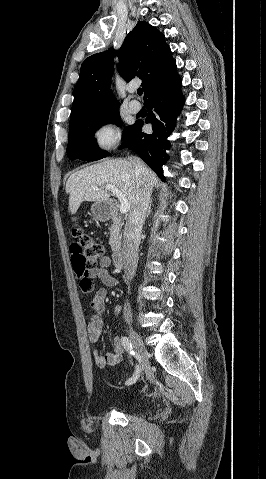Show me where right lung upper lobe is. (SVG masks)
<instances>
[{
    "mask_svg": "<svg viewBox=\"0 0 266 479\" xmlns=\"http://www.w3.org/2000/svg\"><path fill=\"white\" fill-rule=\"evenodd\" d=\"M114 49L88 57L82 64L74 92L70 122L119 108L110 90ZM120 75L127 81L142 80L144 99L177 76L176 62L165 36L145 21H139L127 35L120 50Z\"/></svg>",
    "mask_w": 266,
    "mask_h": 479,
    "instance_id": "right-lung-upper-lobe-1",
    "label": "right lung upper lobe"
}]
</instances>
